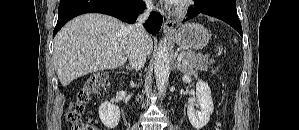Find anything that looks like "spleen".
I'll use <instances>...</instances> for the list:
<instances>
[{"mask_svg":"<svg viewBox=\"0 0 299 130\" xmlns=\"http://www.w3.org/2000/svg\"><path fill=\"white\" fill-rule=\"evenodd\" d=\"M234 42L237 43V39L236 38H234Z\"/></svg>","mask_w":299,"mask_h":130,"instance_id":"obj_1","label":"spleen"}]
</instances>
